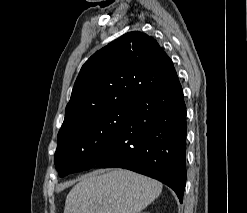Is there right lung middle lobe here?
Wrapping results in <instances>:
<instances>
[{"label": "right lung middle lobe", "instance_id": "right-lung-middle-lobe-1", "mask_svg": "<svg viewBox=\"0 0 247 213\" xmlns=\"http://www.w3.org/2000/svg\"><path fill=\"white\" fill-rule=\"evenodd\" d=\"M131 111L130 100H124L59 135L54 156L59 176L92 168Z\"/></svg>", "mask_w": 247, "mask_h": 213}]
</instances>
